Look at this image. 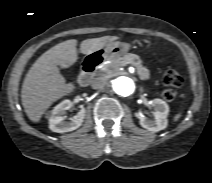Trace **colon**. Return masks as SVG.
<instances>
[{
  "mask_svg": "<svg viewBox=\"0 0 212 183\" xmlns=\"http://www.w3.org/2000/svg\"><path fill=\"white\" fill-rule=\"evenodd\" d=\"M182 75L173 67L167 68L162 75V84L165 89L162 92L164 100L170 102L176 97L175 88L180 87L183 84Z\"/></svg>",
  "mask_w": 212,
  "mask_h": 183,
  "instance_id": "colon-1",
  "label": "colon"
}]
</instances>
